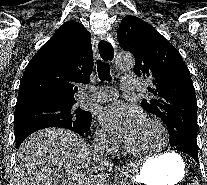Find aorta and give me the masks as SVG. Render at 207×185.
I'll return each mask as SVG.
<instances>
[{
  "mask_svg": "<svg viewBox=\"0 0 207 185\" xmlns=\"http://www.w3.org/2000/svg\"><path fill=\"white\" fill-rule=\"evenodd\" d=\"M115 64L120 70H130L134 67V57L130 53H120L115 58Z\"/></svg>",
  "mask_w": 207,
  "mask_h": 185,
  "instance_id": "aorta-1",
  "label": "aorta"
}]
</instances>
